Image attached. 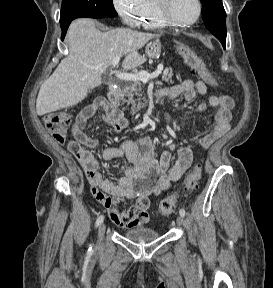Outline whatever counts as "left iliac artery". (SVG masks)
<instances>
[{"mask_svg":"<svg viewBox=\"0 0 273 288\" xmlns=\"http://www.w3.org/2000/svg\"><path fill=\"white\" fill-rule=\"evenodd\" d=\"M179 214H180L182 217H184L185 214H186V212H185L184 209H180Z\"/></svg>","mask_w":273,"mask_h":288,"instance_id":"obj_1","label":"left iliac artery"}]
</instances>
